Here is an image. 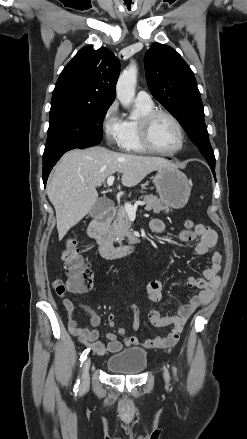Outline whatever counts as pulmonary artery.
<instances>
[{"mask_svg": "<svg viewBox=\"0 0 247 439\" xmlns=\"http://www.w3.org/2000/svg\"><path fill=\"white\" fill-rule=\"evenodd\" d=\"M136 102L149 105L153 103V100L146 91L141 90L137 93Z\"/></svg>", "mask_w": 247, "mask_h": 439, "instance_id": "1", "label": "pulmonary artery"}]
</instances>
